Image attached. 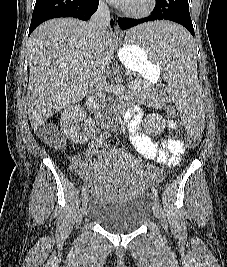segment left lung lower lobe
I'll list each match as a JSON object with an SVG mask.
<instances>
[{
  "instance_id": "left-lung-lower-lobe-1",
  "label": "left lung lower lobe",
  "mask_w": 227,
  "mask_h": 267,
  "mask_svg": "<svg viewBox=\"0 0 227 267\" xmlns=\"http://www.w3.org/2000/svg\"><path fill=\"white\" fill-rule=\"evenodd\" d=\"M155 20H170L183 25L194 36V29L189 13L188 0H157L153 13L142 19L119 18L118 24L121 29H129L144 22ZM191 41L175 38L174 35L169 37V45L174 49L183 50L190 47Z\"/></svg>"
}]
</instances>
